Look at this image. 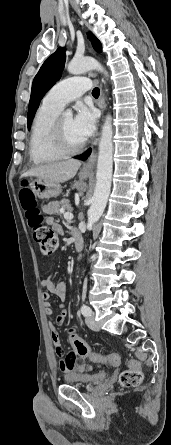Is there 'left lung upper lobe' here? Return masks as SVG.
Wrapping results in <instances>:
<instances>
[{
  "instance_id": "obj_1",
  "label": "left lung upper lobe",
  "mask_w": 171,
  "mask_h": 445,
  "mask_svg": "<svg viewBox=\"0 0 171 445\" xmlns=\"http://www.w3.org/2000/svg\"><path fill=\"white\" fill-rule=\"evenodd\" d=\"M88 38L94 49L97 52L102 51L100 41L91 33H88ZM65 49L59 47L41 66L37 75L35 76L31 89V97L28 108L27 126L30 129L35 112L39 107L40 101L43 96L49 91V89L58 81L62 76V71L65 65Z\"/></svg>"
}]
</instances>
